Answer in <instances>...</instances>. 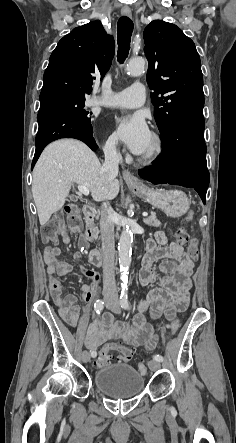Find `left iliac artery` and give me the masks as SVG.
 <instances>
[{
	"label": "left iliac artery",
	"mask_w": 236,
	"mask_h": 443,
	"mask_svg": "<svg viewBox=\"0 0 236 443\" xmlns=\"http://www.w3.org/2000/svg\"><path fill=\"white\" fill-rule=\"evenodd\" d=\"M127 290H128L127 286H124L122 288L121 295H120V305H121V307L123 309H129L130 308V303H129V300H128ZM153 359L158 361V362L163 361V357L161 355H154Z\"/></svg>",
	"instance_id": "left-iliac-artery-1"
}]
</instances>
